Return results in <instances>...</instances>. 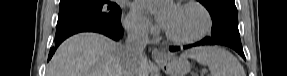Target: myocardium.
<instances>
[{"label":"myocardium","instance_id":"1","mask_svg":"<svg viewBox=\"0 0 287 76\" xmlns=\"http://www.w3.org/2000/svg\"><path fill=\"white\" fill-rule=\"evenodd\" d=\"M179 7H192L197 9L204 18V24L196 34L189 37H176L165 29L164 33L166 38L176 44H191L204 38L212 27V16L208 9L198 1H185L182 2Z\"/></svg>","mask_w":287,"mask_h":76}]
</instances>
